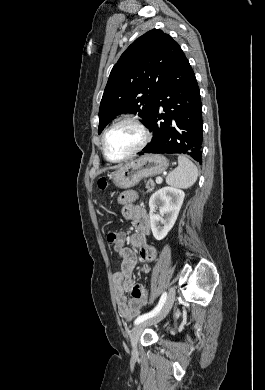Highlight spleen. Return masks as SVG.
Returning <instances> with one entry per match:
<instances>
[{
	"instance_id": "spleen-1",
	"label": "spleen",
	"mask_w": 265,
	"mask_h": 390,
	"mask_svg": "<svg viewBox=\"0 0 265 390\" xmlns=\"http://www.w3.org/2000/svg\"><path fill=\"white\" fill-rule=\"evenodd\" d=\"M198 178L197 167L185 156H178V167L166 178L168 185L178 188L191 187Z\"/></svg>"
}]
</instances>
